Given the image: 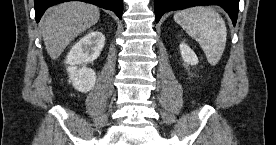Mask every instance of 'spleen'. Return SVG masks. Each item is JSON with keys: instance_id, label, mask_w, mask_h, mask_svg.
I'll list each match as a JSON object with an SVG mask.
<instances>
[{"instance_id": "1", "label": "spleen", "mask_w": 276, "mask_h": 145, "mask_svg": "<svg viewBox=\"0 0 276 145\" xmlns=\"http://www.w3.org/2000/svg\"><path fill=\"white\" fill-rule=\"evenodd\" d=\"M174 20L200 44L208 62L215 66L226 46L223 18L211 7L197 6L176 12Z\"/></svg>"}]
</instances>
